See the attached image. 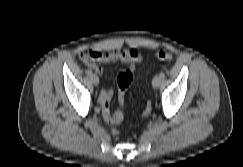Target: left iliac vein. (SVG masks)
Listing matches in <instances>:
<instances>
[{"instance_id": "left-iliac-vein-1", "label": "left iliac vein", "mask_w": 243, "mask_h": 167, "mask_svg": "<svg viewBox=\"0 0 243 167\" xmlns=\"http://www.w3.org/2000/svg\"><path fill=\"white\" fill-rule=\"evenodd\" d=\"M161 81H162V78H161V77H159V76H155V77L153 78V80H152V86H153L154 88L159 87V85L161 84Z\"/></svg>"}]
</instances>
